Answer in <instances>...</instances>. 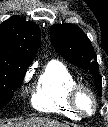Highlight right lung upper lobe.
<instances>
[{"label": "right lung upper lobe", "instance_id": "cb5924a9", "mask_svg": "<svg viewBox=\"0 0 108 127\" xmlns=\"http://www.w3.org/2000/svg\"><path fill=\"white\" fill-rule=\"evenodd\" d=\"M40 38V30L35 23L12 16L0 25V56L30 65Z\"/></svg>", "mask_w": 108, "mask_h": 127}]
</instances>
